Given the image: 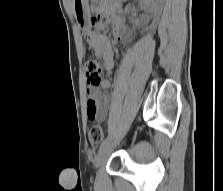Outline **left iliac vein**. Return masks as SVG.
Returning a JSON list of instances; mask_svg holds the SVG:
<instances>
[{"label":"left iliac vein","mask_w":223,"mask_h":191,"mask_svg":"<svg viewBox=\"0 0 223 191\" xmlns=\"http://www.w3.org/2000/svg\"><path fill=\"white\" fill-rule=\"evenodd\" d=\"M110 152H111L110 144H107L103 149L99 151L94 161L95 168H99L101 165H103L106 162Z\"/></svg>","instance_id":"4c4485c4"}]
</instances>
